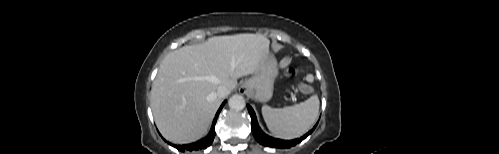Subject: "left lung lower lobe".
I'll return each mask as SVG.
<instances>
[{
  "label": "left lung lower lobe",
  "instance_id": "left-lung-lower-lobe-1",
  "mask_svg": "<svg viewBox=\"0 0 499 154\" xmlns=\"http://www.w3.org/2000/svg\"><path fill=\"white\" fill-rule=\"evenodd\" d=\"M247 108H248L249 114L251 116V127H252V133H253L254 138L260 144H262L264 146H268V147H278V148L284 149V148H290L292 146H295L297 143H300L308 135H310L318 124V122H317L316 125L313 127V129L310 130L307 134H305L301 138H298L295 140H280V139L272 138V137L266 135L260 129L253 109L249 105H247Z\"/></svg>",
  "mask_w": 499,
  "mask_h": 154
}]
</instances>
